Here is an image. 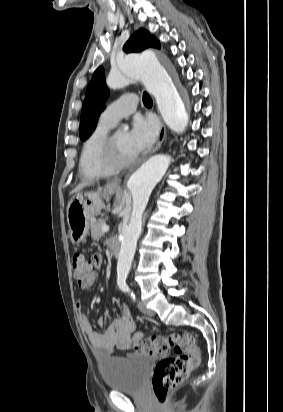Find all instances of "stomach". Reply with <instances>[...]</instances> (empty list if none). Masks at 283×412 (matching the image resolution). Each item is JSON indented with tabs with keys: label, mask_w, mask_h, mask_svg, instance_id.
Listing matches in <instances>:
<instances>
[{
	"label": "stomach",
	"mask_w": 283,
	"mask_h": 412,
	"mask_svg": "<svg viewBox=\"0 0 283 412\" xmlns=\"http://www.w3.org/2000/svg\"><path fill=\"white\" fill-rule=\"evenodd\" d=\"M117 187L107 185L100 192L78 193L69 203L67 221L70 239L73 243H80L88 234L91 220L100 213L104 206L102 197L113 195Z\"/></svg>",
	"instance_id": "0dacf381"
}]
</instances>
